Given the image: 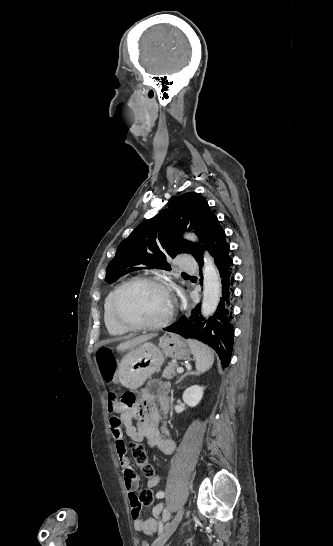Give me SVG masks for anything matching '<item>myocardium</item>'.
I'll return each instance as SVG.
<instances>
[{"label":"myocardium","mask_w":333,"mask_h":546,"mask_svg":"<svg viewBox=\"0 0 333 546\" xmlns=\"http://www.w3.org/2000/svg\"><path fill=\"white\" fill-rule=\"evenodd\" d=\"M136 283H148V284H153V285H156L158 287H160L161 289H163L167 295L169 296L170 298V301H171V305H170V310L168 312V314L165 316L164 319L158 321V322H155V323H134V322H130L128 320H126L120 313V310H119V304H120V298H121V295L123 293V291L133 285V284H136ZM111 310H112V315H113V318L114 320L116 321V323L121 326L122 328H124L125 330L127 331H150V330H158V329H162L166 326H168L174 316H175V313H176V301L174 299V297L172 296L168 286L166 285V283L164 281H162L161 279L157 278V277H153V276H134L124 282H122L116 289L115 293H114V296H113V299H112V306H111Z\"/></svg>","instance_id":"myocardium-1"}]
</instances>
